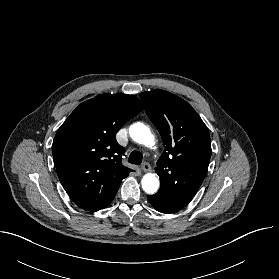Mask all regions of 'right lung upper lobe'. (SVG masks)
Listing matches in <instances>:
<instances>
[{
	"label": "right lung upper lobe",
	"instance_id": "obj_1",
	"mask_svg": "<svg viewBox=\"0 0 279 279\" xmlns=\"http://www.w3.org/2000/svg\"><path fill=\"white\" fill-rule=\"evenodd\" d=\"M143 109L133 95L100 94L81 103L59 128L52 145L59 180L80 208L97 212L115 197L131 169L121 164L117 131Z\"/></svg>",
	"mask_w": 279,
	"mask_h": 279
}]
</instances>
